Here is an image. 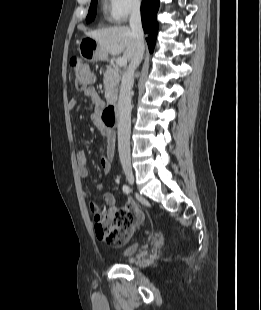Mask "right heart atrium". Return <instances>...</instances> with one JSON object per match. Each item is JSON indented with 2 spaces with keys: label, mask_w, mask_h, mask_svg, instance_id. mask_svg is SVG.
<instances>
[{
  "label": "right heart atrium",
  "mask_w": 261,
  "mask_h": 310,
  "mask_svg": "<svg viewBox=\"0 0 261 310\" xmlns=\"http://www.w3.org/2000/svg\"><path fill=\"white\" fill-rule=\"evenodd\" d=\"M140 9L141 0H109V18L117 24L126 22Z\"/></svg>",
  "instance_id": "d8ad5b80"
}]
</instances>
